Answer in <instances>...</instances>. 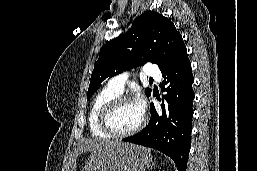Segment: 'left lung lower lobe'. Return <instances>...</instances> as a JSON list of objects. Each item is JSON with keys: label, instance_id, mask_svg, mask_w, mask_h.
Here are the masks:
<instances>
[{"label": "left lung lower lobe", "instance_id": "obj_1", "mask_svg": "<svg viewBox=\"0 0 257 171\" xmlns=\"http://www.w3.org/2000/svg\"><path fill=\"white\" fill-rule=\"evenodd\" d=\"M160 70L165 78L163 91L167 92L163 96L166 105L162 103V113L151 103L147 127L123 141L157 149L175 162L178 171H186L194 100V78L186 47L176 51Z\"/></svg>", "mask_w": 257, "mask_h": 171}]
</instances>
